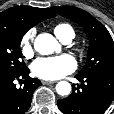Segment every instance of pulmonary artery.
I'll list each match as a JSON object with an SVG mask.
<instances>
[{
	"label": "pulmonary artery",
	"mask_w": 114,
	"mask_h": 114,
	"mask_svg": "<svg viewBox=\"0 0 114 114\" xmlns=\"http://www.w3.org/2000/svg\"><path fill=\"white\" fill-rule=\"evenodd\" d=\"M72 38H73V36H69L65 40H63L62 42L65 43V44H68V43L71 42Z\"/></svg>",
	"instance_id": "1"
}]
</instances>
